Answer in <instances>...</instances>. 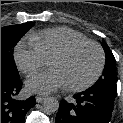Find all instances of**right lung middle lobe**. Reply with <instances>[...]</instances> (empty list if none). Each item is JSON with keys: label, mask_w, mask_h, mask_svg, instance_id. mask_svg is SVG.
Listing matches in <instances>:
<instances>
[{"label": "right lung middle lobe", "mask_w": 123, "mask_h": 123, "mask_svg": "<svg viewBox=\"0 0 123 123\" xmlns=\"http://www.w3.org/2000/svg\"><path fill=\"white\" fill-rule=\"evenodd\" d=\"M33 24V22H27L1 28V72L20 77L12 59L13 47L31 29Z\"/></svg>", "instance_id": "dd1d6c3e"}]
</instances>
